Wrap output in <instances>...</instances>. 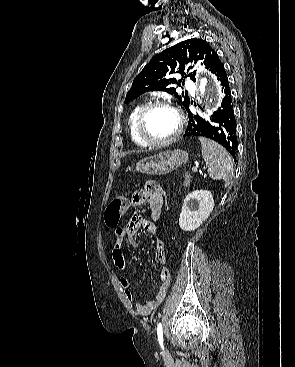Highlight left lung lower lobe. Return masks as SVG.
Segmentation results:
<instances>
[{"label":"left lung lower lobe","instance_id":"left-lung-lower-lobe-1","mask_svg":"<svg viewBox=\"0 0 295 367\" xmlns=\"http://www.w3.org/2000/svg\"><path fill=\"white\" fill-rule=\"evenodd\" d=\"M212 73L217 76L222 86L223 100L221 105L211 116V122L195 115L188 107L186 110L189 120L184 136L210 138L224 146L235 159L237 149L236 120L227 74L220 60L214 66Z\"/></svg>","mask_w":295,"mask_h":367}]
</instances>
